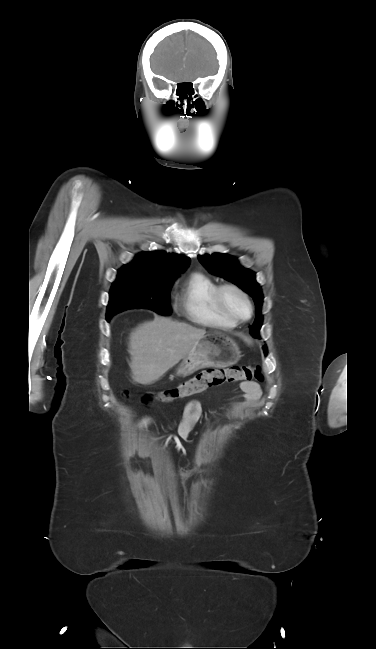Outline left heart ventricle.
I'll use <instances>...</instances> for the list:
<instances>
[{
  "mask_svg": "<svg viewBox=\"0 0 376 649\" xmlns=\"http://www.w3.org/2000/svg\"><path fill=\"white\" fill-rule=\"evenodd\" d=\"M226 302L230 310L241 317H244L248 313L247 304L242 298H240L235 293L229 292L226 294Z\"/></svg>",
  "mask_w": 376,
  "mask_h": 649,
  "instance_id": "obj_1",
  "label": "left heart ventricle"
}]
</instances>
